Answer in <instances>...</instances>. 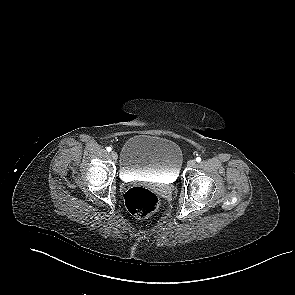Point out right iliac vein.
<instances>
[{
	"instance_id": "right-iliac-vein-1",
	"label": "right iliac vein",
	"mask_w": 295,
	"mask_h": 295,
	"mask_svg": "<svg viewBox=\"0 0 295 295\" xmlns=\"http://www.w3.org/2000/svg\"><path fill=\"white\" fill-rule=\"evenodd\" d=\"M110 155H111L112 159H114V160H116L118 158V154L115 151H112Z\"/></svg>"
}]
</instances>
